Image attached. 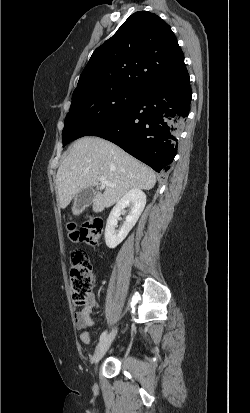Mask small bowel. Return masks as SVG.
I'll list each match as a JSON object with an SVG mask.
<instances>
[{
    "label": "small bowel",
    "instance_id": "small-bowel-1",
    "mask_svg": "<svg viewBox=\"0 0 250 413\" xmlns=\"http://www.w3.org/2000/svg\"><path fill=\"white\" fill-rule=\"evenodd\" d=\"M93 308H99V303L95 297H93L90 306L83 307L80 311L75 313L76 327L79 330H82L80 333V340L86 345L91 343L90 328L94 326V320L91 318Z\"/></svg>",
    "mask_w": 250,
    "mask_h": 413
}]
</instances>
